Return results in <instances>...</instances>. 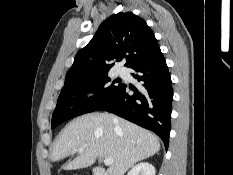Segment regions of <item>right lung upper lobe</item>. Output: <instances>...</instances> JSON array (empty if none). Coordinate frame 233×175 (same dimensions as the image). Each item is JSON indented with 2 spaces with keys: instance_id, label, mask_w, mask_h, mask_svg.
Here are the masks:
<instances>
[{
  "instance_id": "1",
  "label": "right lung upper lobe",
  "mask_w": 233,
  "mask_h": 175,
  "mask_svg": "<svg viewBox=\"0 0 233 175\" xmlns=\"http://www.w3.org/2000/svg\"><path fill=\"white\" fill-rule=\"evenodd\" d=\"M160 51L154 33L146 22L132 12H120L106 19L87 46L75 57L65 81L108 73L114 59L125 57L126 67L149 60Z\"/></svg>"
}]
</instances>
